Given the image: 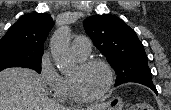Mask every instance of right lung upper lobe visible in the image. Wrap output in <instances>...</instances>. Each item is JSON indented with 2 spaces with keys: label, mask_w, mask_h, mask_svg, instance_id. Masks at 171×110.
<instances>
[{
  "label": "right lung upper lobe",
  "mask_w": 171,
  "mask_h": 110,
  "mask_svg": "<svg viewBox=\"0 0 171 110\" xmlns=\"http://www.w3.org/2000/svg\"><path fill=\"white\" fill-rule=\"evenodd\" d=\"M52 26L53 20L47 13L25 14L9 28L0 45L12 44L43 53V44Z\"/></svg>",
  "instance_id": "cb5924a9"
}]
</instances>
